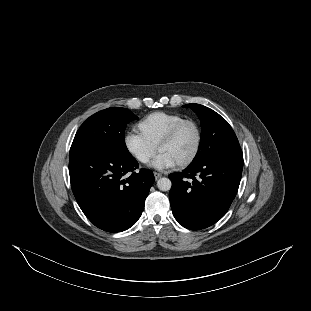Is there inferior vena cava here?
Returning a JSON list of instances; mask_svg holds the SVG:
<instances>
[{"instance_id":"obj_1","label":"inferior vena cava","mask_w":311,"mask_h":311,"mask_svg":"<svg viewBox=\"0 0 311 311\" xmlns=\"http://www.w3.org/2000/svg\"><path fill=\"white\" fill-rule=\"evenodd\" d=\"M142 161H143V162H146V161H147V159H146V158H145V159H142Z\"/></svg>"}]
</instances>
